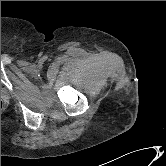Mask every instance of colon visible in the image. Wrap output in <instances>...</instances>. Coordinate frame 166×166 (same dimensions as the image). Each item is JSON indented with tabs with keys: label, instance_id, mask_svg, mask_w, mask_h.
Returning a JSON list of instances; mask_svg holds the SVG:
<instances>
[{
	"label": "colon",
	"instance_id": "obj_1",
	"mask_svg": "<svg viewBox=\"0 0 166 166\" xmlns=\"http://www.w3.org/2000/svg\"><path fill=\"white\" fill-rule=\"evenodd\" d=\"M3 109V101L1 100V110Z\"/></svg>",
	"mask_w": 166,
	"mask_h": 166
}]
</instances>
